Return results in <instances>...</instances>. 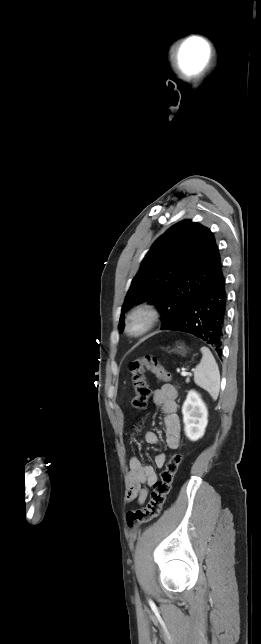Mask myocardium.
<instances>
[{"mask_svg":"<svg viewBox=\"0 0 261 644\" xmlns=\"http://www.w3.org/2000/svg\"><path fill=\"white\" fill-rule=\"evenodd\" d=\"M160 316L161 311L157 304L152 301L140 302L126 316L125 333L132 338L141 337L155 327Z\"/></svg>","mask_w":261,"mask_h":644,"instance_id":"myocardium-1","label":"myocardium"}]
</instances>
